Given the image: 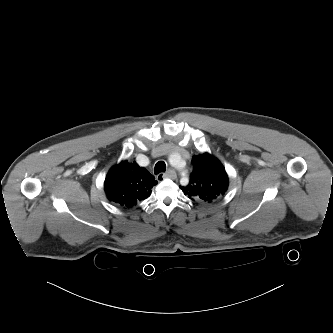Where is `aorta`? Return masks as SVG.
<instances>
[{
    "label": "aorta",
    "mask_w": 333,
    "mask_h": 333,
    "mask_svg": "<svg viewBox=\"0 0 333 333\" xmlns=\"http://www.w3.org/2000/svg\"><path fill=\"white\" fill-rule=\"evenodd\" d=\"M180 158L177 155H171L169 158V162L173 167H178Z\"/></svg>",
    "instance_id": "obj_1"
}]
</instances>
